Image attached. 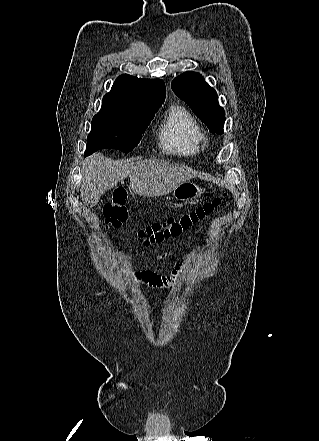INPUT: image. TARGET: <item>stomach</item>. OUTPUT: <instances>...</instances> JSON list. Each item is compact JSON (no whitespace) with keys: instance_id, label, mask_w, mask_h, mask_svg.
<instances>
[{"instance_id":"obj_1","label":"stomach","mask_w":319,"mask_h":441,"mask_svg":"<svg viewBox=\"0 0 319 441\" xmlns=\"http://www.w3.org/2000/svg\"><path fill=\"white\" fill-rule=\"evenodd\" d=\"M204 192V188L202 189L197 184L188 180L173 190V199L180 203H186L200 197Z\"/></svg>"}]
</instances>
